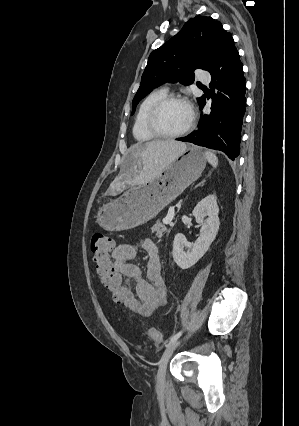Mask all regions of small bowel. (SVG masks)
Instances as JSON below:
<instances>
[{"mask_svg":"<svg viewBox=\"0 0 299 426\" xmlns=\"http://www.w3.org/2000/svg\"><path fill=\"white\" fill-rule=\"evenodd\" d=\"M147 252L146 277L132 261L137 250L131 244H119L112 251V263L124 287L123 303L132 312L148 317L168 300V289L162 275L159 249L151 239L142 244Z\"/></svg>","mask_w":299,"mask_h":426,"instance_id":"obj_1","label":"small bowel"}]
</instances>
